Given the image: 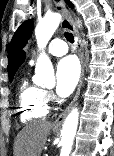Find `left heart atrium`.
<instances>
[{
  "mask_svg": "<svg viewBox=\"0 0 114 156\" xmlns=\"http://www.w3.org/2000/svg\"><path fill=\"white\" fill-rule=\"evenodd\" d=\"M80 76V66L75 56L61 59L56 71V92L61 97L69 96Z\"/></svg>",
  "mask_w": 114,
  "mask_h": 156,
  "instance_id": "1",
  "label": "left heart atrium"
}]
</instances>
